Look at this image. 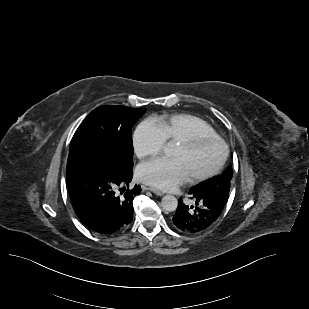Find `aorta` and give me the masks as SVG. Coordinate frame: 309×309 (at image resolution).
Listing matches in <instances>:
<instances>
[{"mask_svg":"<svg viewBox=\"0 0 309 309\" xmlns=\"http://www.w3.org/2000/svg\"><path fill=\"white\" fill-rule=\"evenodd\" d=\"M161 206L165 211H175L178 206L177 198L173 195H166L162 198Z\"/></svg>","mask_w":309,"mask_h":309,"instance_id":"1","label":"aorta"}]
</instances>
